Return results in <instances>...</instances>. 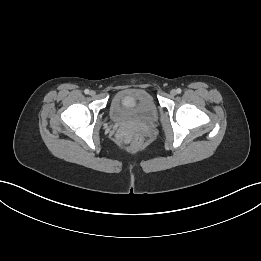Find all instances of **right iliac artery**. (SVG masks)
<instances>
[{
	"label": "right iliac artery",
	"mask_w": 261,
	"mask_h": 261,
	"mask_svg": "<svg viewBox=\"0 0 261 261\" xmlns=\"http://www.w3.org/2000/svg\"><path fill=\"white\" fill-rule=\"evenodd\" d=\"M84 93H85V94H89L90 91H89L88 89H85Z\"/></svg>",
	"instance_id": "right-iliac-artery-1"
}]
</instances>
